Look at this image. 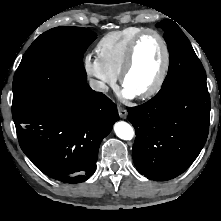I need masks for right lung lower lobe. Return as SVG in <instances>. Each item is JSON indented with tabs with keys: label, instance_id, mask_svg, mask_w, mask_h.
<instances>
[{
	"label": "right lung lower lobe",
	"instance_id": "obj_1",
	"mask_svg": "<svg viewBox=\"0 0 221 221\" xmlns=\"http://www.w3.org/2000/svg\"><path fill=\"white\" fill-rule=\"evenodd\" d=\"M118 119L116 105L86 82L13 116L26 156L65 183L83 182L95 172L100 143Z\"/></svg>",
	"mask_w": 221,
	"mask_h": 221
}]
</instances>
